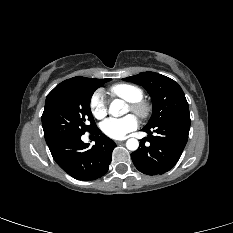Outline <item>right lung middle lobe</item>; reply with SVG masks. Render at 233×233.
<instances>
[{
  "instance_id": "dd1d6c3e",
  "label": "right lung middle lobe",
  "mask_w": 233,
  "mask_h": 233,
  "mask_svg": "<svg viewBox=\"0 0 233 233\" xmlns=\"http://www.w3.org/2000/svg\"><path fill=\"white\" fill-rule=\"evenodd\" d=\"M109 80L88 79L48 94L42 114V126L48 146L67 137L83 135L95 127L90 100L94 91Z\"/></svg>"
}]
</instances>
